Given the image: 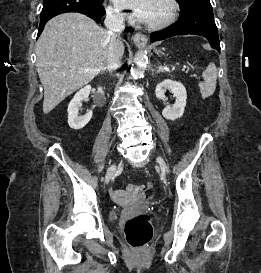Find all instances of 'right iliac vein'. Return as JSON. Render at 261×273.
<instances>
[{
  "label": "right iliac vein",
  "instance_id": "obj_1",
  "mask_svg": "<svg viewBox=\"0 0 261 273\" xmlns=\"http://www.w3.org/2000/svg\"><path fill=\"white\" fill-rule=\"evenodd\" d=\"M117 168V165L116 164H112L107 172H106V175H105V183H108L109 180L111 179L112 175L114 174L115 170Z\"/></svg>",
  "mask_w": 261,
  "mask_h": 273
}]
</instances>
